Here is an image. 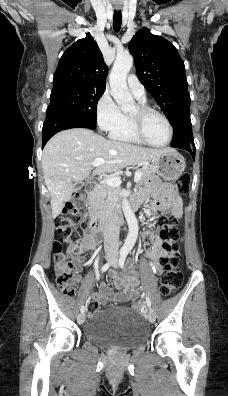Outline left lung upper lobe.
Here are the masks:
<instances>
[{
  "mask_svg": "<svg viewBox=\"0 0 228 396\" xmlns=\"http://www.w3.org/2000/svg\"><path fill=\"white\" fill-rule=\"evenodd\" d=\"M137 76L148 89L172 126L190 109L185 66L174 45L142 28L129 43Z\"/></svg>",
  "mask_w": 228,
  "mask_h": 396,
  "instance_id": "left-lung-upper-lobe-1",
  "label": "left lung upper lobe"
}]
</instances>
